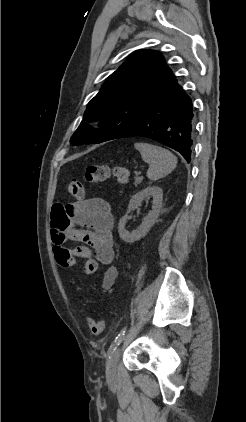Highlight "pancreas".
I'll return each mask as SVG.
<instances>
[{"label":"pancreas","instance_id":"cf45deb5","mask_svg":"<svg viewBox=\"0 0 246 422\" xmlns=\"http://www.w3.org/2000/svg\"><path fill=\"white\" fill-rule=\"evenodd\" d=\"M141 181H142V177H138V176L135 177V184H138Z\"/></svg>","mask_w":246,"mask_h":422}]
</instances>
